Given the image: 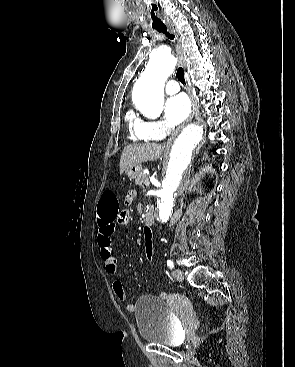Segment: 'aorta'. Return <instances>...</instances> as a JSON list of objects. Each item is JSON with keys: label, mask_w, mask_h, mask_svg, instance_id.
<instances>
[{"label": "aorta", "mask_w": 295, "mask_h": 367, "mask_svg": "<svg viewBox=\"0 0 295 367\" xmlns=\"http://www.w3.org/2000/svg\"><path fill=\"white\" fill-rule=\"evenodd\" d=\"M176 62L173 55L156 52L135 83L132 93L133 103L144 116L157 118L162 113L164 85ZM202 137L203 126L190 124L183 128L172 146L158 194L157 209L162 223L167 222L173 212L176 193L185 178L192 152Z\"/></svg>", "instance_id": "aorta-1"}]
</instances>
